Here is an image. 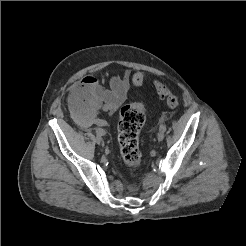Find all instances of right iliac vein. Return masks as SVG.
<instances>
[{
	"mask_svg": "<svg viewBox=\"0 0 246 246\" xmlns=\"http://www.w3.org/2000/svg\"><path fill=\"white\" fill-rule=\"evenodd\" d=\"M96 142H97L98 144H101V143H102V137H101L100 135H97V136H96Z\"/></svg>",
	"mask_w": 246,
	"mask_h": 246,
	"instance_id": "obj_1",
	"label": "right iliac vein"
}]
</instances>
